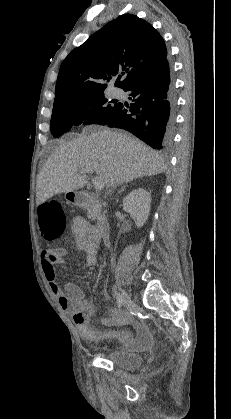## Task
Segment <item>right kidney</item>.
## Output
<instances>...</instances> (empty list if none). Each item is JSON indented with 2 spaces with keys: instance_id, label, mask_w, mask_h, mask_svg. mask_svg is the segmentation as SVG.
Listing matches in <instances>:
<instances>
[{
  "instance_id": "right-kidney-1",
  "label": "right kidney",
  "mask_w": 231,
  "mask_h": 419,
  "mask_svg": "<svg viewBox=\"0 0 231 419\" xmlns=\"http://www.w3.org/2000/svg\"><path fill=\"white\" fill-rule=\"evenodd\" d=\"M150 203L151 195L143 188L132 190L123 199V210L132 216L137 228L142 227L148 220L151 209Z\"/></svg>"
}]
</instances>
